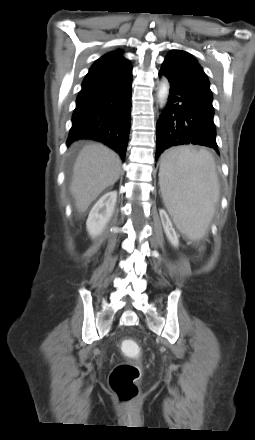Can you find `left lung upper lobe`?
<instances>
[{
    "mask_svg": "<svg viewBox=\"0 0 255 440\" xmlns=\"http://www.w3.org/2000/svg\"><path fill=\"white\" fill-rule=\"evenodd\" d=\"M163 68L190 90L213 99L210 83L198 61L186 51L172 50L165 58Z\"/></svg>",
    "mask_w": 255,
    "mask_h": 440,
    "instance_id": "obj_1",
    "label": "left lung upper lobe"
}]
</instances>
